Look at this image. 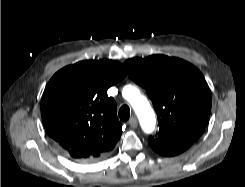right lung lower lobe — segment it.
I'll use <instances>...</instances> for the list:
<instances>
[{"mask_svg": "<svg viewBox=\"0 0 245 187\" xmlns=\"http://www.w3.org/2000/svg\"><path fill=\"white\" fill-rule=\"evenodd\" d=\"M62 150V149H61ZM62 152L66 155V156H68L63 150H62ZM69 157V156H68ZM69 158H71V157H69ZM73 159V158H72ZM74 160H76V161H78V162H81V163H87L88 161H86V160H84V159H74Z\"/></svg>", "mask_w": 245, "mask_h": 187, "instance_id": "98d812e1", "label": "right lung lower lobe"}]
</instances>
